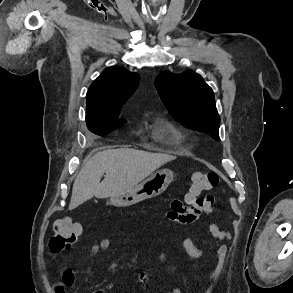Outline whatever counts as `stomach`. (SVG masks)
<instances>
[{
    "instance_id": "stomach-1",
    "label": "stomach",
    "mask_w": 293,
    "mask_h": 293,
    "mask_svg": "<svg viewBox=\"0 0 293 293\" xmlns=\"http://www.w3.org/2000/svg\"><path fill=\"white\" fill-rule=\"evenodd\" d=\"M173 180V172L161 170L153 173L139 185L123 194L112 196L110 202L116 207H127L145 199L153 198L162 194Z\"/></svg>"
}]
</instances>
